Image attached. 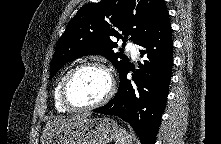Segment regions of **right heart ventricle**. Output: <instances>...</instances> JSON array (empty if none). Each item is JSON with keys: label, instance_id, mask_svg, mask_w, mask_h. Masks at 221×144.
Listing matches in <instances>:
<instances>
[{"label": "right heart ventricle", "instance_id": "right-heart-ventricle-1", "mask_svg": "<svg viewBox=\"0 0 221 144\" xmlns=\"http://www.w3.org/2000/svg\"><path fill=\"white\" fill-rule=\"evenodd\" d=\"M70 70H67L66 72H64L62 74V76L59 78L55 88H54V92H53V101H54V106L56 108V110L58 112H61V113H66V112H69L66 108H64L60 102V97H59V94H60V86H61V83L63 81V79L65 78V76L68 74Z\"/></svg>", "mask_w": 221, "mask_h": 144}]
</instances>
